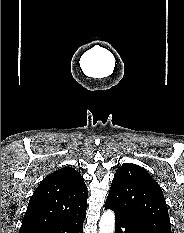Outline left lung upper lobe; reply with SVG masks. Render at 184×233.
Masks as SVG:
<instances>
[{
  "instance_id": "5c2ea615",
  "label": "left lung upper lobe",
  "mask_w": 184,
  "mask_h": 233,
  "mask_svg": "<svg viewBox=\"0 0 184 233\" xmlns=\"http://www.w3.org/2000/svg\"><path fill=\"white\" fill-rule=\"evenodd\" d=\"M106 202L125 214L144 233H171L162 189L136 164H124L116 171Z\"/></svg>"
}]
</instances>
